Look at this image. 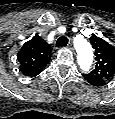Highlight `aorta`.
Masks as SVG:
<instances>
[{"label": "aorta", "mask_w": 115, "mask_h": 119, "mask_svg": "<svg viewBox=\"0 0 115 119\" xmlns=\"http://www.w3.org/2000/svg\"><path fill=\"white\" fill-rule=\"evenodd\" d=\"M75 48L78 54V64L84 71H88L93 62V49L90 43L83 39L78 38L75 40Z\"/></svg>", "instance_id": "aorta-1"}]
</instances>
